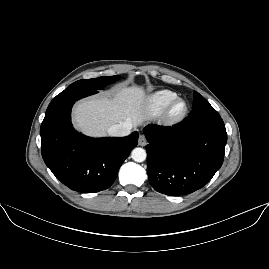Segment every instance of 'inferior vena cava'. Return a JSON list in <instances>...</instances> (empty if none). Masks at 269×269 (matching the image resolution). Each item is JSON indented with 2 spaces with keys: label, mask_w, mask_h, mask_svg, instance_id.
<instances>
[{
  "label": "inferior vena cava",
  "mask_w": 269,
  "mask_h": 269,
  "mask_svg": "<svg viewBox=\"0 0 269 269\" xmlns=\"http://www.w3.org/2000/svg\"><path fill=\"white\" fill-rule=\"evenodd\" d=\"M132 124L128 122H123L119 124L112 125L108 128L107 132L111 136L123 137L130 134Z\"/></svg>",
  "instance_id": "obj_1"
}]
</instances>
